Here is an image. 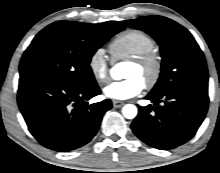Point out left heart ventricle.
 I'll list each match as a JSON object with an SVG mask.
<instances>
[{
	"instance_id": "left-heart-ventricle-1",
	"label": "left heart ventricle",
	"mask_w": 220,
	"mask_h": 173,
	"mask_svg": "<svg viewBox=\"0 0 220 173\" xmlns=\"http://www.w3.org/2000/svg\"><path fill=\"white\" fill-rule=\"evenodd\" d=\"M125 76L127 78L137 77V78L141 79L142 81H144L145 73L136 65L129 63L127 66V69H126Z\"/></svg>"
}]
</instances>
